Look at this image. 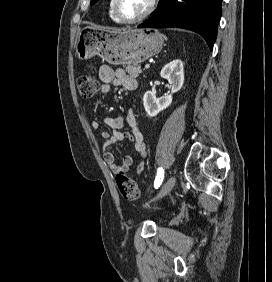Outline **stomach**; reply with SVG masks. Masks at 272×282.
<instances>
[{"label":"stomach","mask_w":272,"mask_h":282,"mask_svg":"<svg viewBox=\"0 0 272 282\" xmlns=\"http://www.w3.org/2000/svg\"><path fill=\"white\" fill-rule=\"evenodd\" d=\"M162 46V36L152 29L89 26L78 38L76 55L80 60L98 55L113 65H136L159 53Z\"/></svg>","instance_id":"0dacf381"}]
</instances>
